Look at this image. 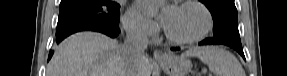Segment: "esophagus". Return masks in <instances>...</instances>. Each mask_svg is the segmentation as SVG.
<instances>
[{
    "instance_id": "1",
    "label": "esophagus",
    "mask_w": 287,
    "mask_h": 76,
    "mask_svg": "<svg viewBox=\"0 0 287 76\" xmlns=\"http://www.w3.org/2000/svg\"><path fill=\"white\" fill-rule=\"evenodd\" d=\"M154 58L158 61H161L167 58V54L162 51L156 50L154 51Z\"/></svg>"
}]
</instances>
